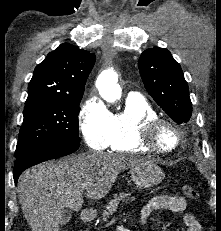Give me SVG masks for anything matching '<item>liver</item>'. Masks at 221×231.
I'll list each match as a JSON object with an SVG mask.
<instances>
[{"instance_id":"liver-1","label":"liver","mask_w":221,"mask_h":231,"mask_svg":"<svg viewBox=\"0 0 221 231\" xmlns=\"http://www.w3.org/2000/svg\"><path fill=\"white\" fill-rule=\"evenodd\" d=\"M142 161L133 156L93 152L39 164L18 180V198L32 231H59L64 208L79 211L87 197L101 199L118 174Z\"/></svg>"}]
</instances>
